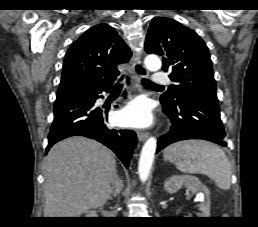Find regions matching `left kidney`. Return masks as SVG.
I'll use <instances>...</instances> for the list:
<instances>
[{"mask_svg": "<svg viewBox=\"0 0 258 227\" xmlns=\"http://www.w3.org/2000/svg\"><path fill=\"white\" fill-rule=\"evenodd\" d=\"M183 186L188 191L196 193L197 197L201 200L198 205L201 211L198 213V217H210V192L197 177L191 175H173L164 182V189L170 194L176 193Z\"/></svg>", "mask_w": 258, "mask_h": 227, "instance_id": "1", "label": "left kidney"}]
</instances>
